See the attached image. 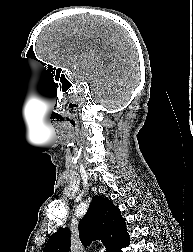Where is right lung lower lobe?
<instances>
[{
  "mask_svg": "<svg viewBox=\"0 0 193 252\" xmlns=\"http://www.w3.org/2000/svg\"><path fill=\"white\" fill-rule=\"evenodd\" d=\"M129 243H130V239L128 236L127 239L114 252H122L121 248L129 245Z\"/></svg>",
  "mask_w": 193,
  "mask_h": 252,
  "instance_id": "98d812e1",
  "label": "right lung lower lobe"
}]
</instances>
